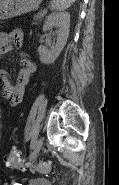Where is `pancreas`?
I'll list each match as a JSON object with an SVG mask.
<instances>
[{"label":"pancreas","mask_w":119,"mask_h":185,"mask_svg":"<svg viewBox=\"0 0 119 185\" xmlns=\"http://www.w3.org/2000/svg\"><path fill=\"white\" fill-rule=\"evenodd\" d=\"M44 13H38L37 15L34 16V20L37 21V20H40L44 17Z\"/></svg>","instance_id":"obj_1"}]
</instances>
